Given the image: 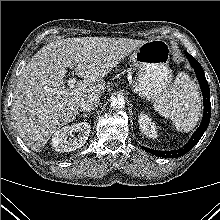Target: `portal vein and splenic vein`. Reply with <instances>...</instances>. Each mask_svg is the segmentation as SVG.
<instances>
[{
  "label": "portal vein and splenic vein",
  "instance_id": "18ae733b",
  "mask_svg": "<svg viewBox=\"0 0 220 220\" xmlns=\"http://www.w3.org/2000/svg\"><path fill=\"white\" fill-rule=\"evenodd\" d=\"M76 80H77L76 77L69 78V80L67 81V85L69 86V88H74ZM66 92H67V89L63 88L61 90H57L56 93L58 96H61V95H64Z\"/></svg>",
  "mask_w": 220,
  "mask_h": 220
}]
</instances>
